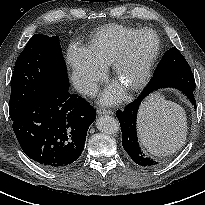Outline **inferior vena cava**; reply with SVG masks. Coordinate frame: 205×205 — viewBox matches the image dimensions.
I'll return each mask as SVG.
<instances>
[{
	"mask_svg": "<svg viewBox=\"0 0 205 205\" xmlns=\"http://www.w3.org/2000/svg\"><path fill=\"white\" fill-rule=\"evenodd\" d=\"M74 87L79 93L86 95H95L98 91L97 83L87 80L76 81Z\"/></svg>",
	"mask_w": 205,
	"mask_h": 205,
	"instance_id": "inferior-vena-cava-1",
	"label": "inferior vena cava"
}]
</instances>
